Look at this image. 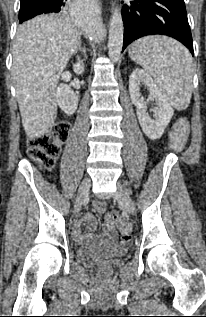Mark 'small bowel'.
I'll return each mask as SVG.
<instances>
[{"label":"small bowel","mask_w":206,"mask_h":317,"mask_svg":"<svg viewBox=\"0 0 206 317\" xmlns=\"http://www.w3.org/2000/svg\"><path fill=\"white\" fill-rule=\"evenodd\" d=\"M83 223H86L88 225L85 232H82ZM95 228H96L95 218L91 214H87L82 220H78L75 222L73 227V235L77 241L85 242L93 238ZM105 232H106V235L109 237L115 236V230L113 228V225L110 223H107L105 225ZM123 238L126 240L129 238V235H123Z\"/></svg>","instance_id":"c3829d8e"}]
</instances>
